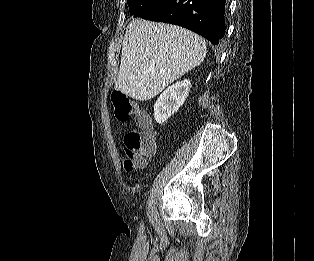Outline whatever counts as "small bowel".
<instances>
[{
  "label": "small bowel",
  "instance_id": "small-bowel-1",
  "mask_svg": "<svg viewBox=\"0 0 314 261\" xmlns=\"http://www.w3.org/2000/svg\"><path fill=\"white\" fill-rule=\"evenodd\" d=\"M146 167V156L142 159V162L138 168H145Z\"/></svg>",
  "mask_w": 314,
  "mask_h": 261
}]
</instances>
